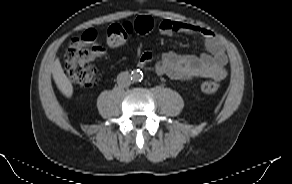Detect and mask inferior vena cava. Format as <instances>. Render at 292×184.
Instances as JSON below:
<instances>
[{
    "label": "inferior vena cava",
    "instance_id": "obj_1",
    "mask_svg": "<svg viewBox=\"0 0 292 184\" xmlns=\"http://www.w3.org/2000/svg\"><path fill=\"white\" fill-rule=\"evenodd\" d=\"M117 83L120 87H128L131 84V75L129 72H121L117 76Z\"/></svg>",
    "mask_w": 292,
    "mask_h": 184
}]
</instances>
